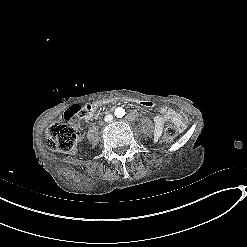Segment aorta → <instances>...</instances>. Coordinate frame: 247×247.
Returning <instances> with one entry per match:
<instances>
[{
    "mask_svg": "<svg viewBox=\"0 0 247 247\" xmlns=\"http://www.w3.org/2000/svg\"><path fill=\"white\" fill-rule=\"evenodd\" d=\"M125 115V110L121 107L115 109V116L117 118H122Z\"/></svg>",
    "mask_w": 247,
    "mask_h": 247,
    "instance_id": "aorta-1",
    "label": "aorta"
}]
</instances>
